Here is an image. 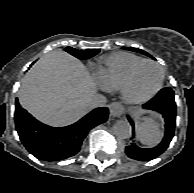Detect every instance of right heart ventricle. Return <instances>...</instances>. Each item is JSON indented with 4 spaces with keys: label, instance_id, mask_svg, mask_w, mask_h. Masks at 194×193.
Masks as SVG:
<instances>
[{
    "label": "right heart ventricle",
    "instance_id": "1",
    "mask_svg": "<svg viewBox=\"0 0 194 193\" xmlns=\"http://www.w3.org/2000/svg\"><path fill=\"white\" fill-rule=\"evenodd\" d=\"M143 59L128 52H115L99 61L97 72L110 89H118L128 71Z\"/></svg>",
    "mask_w": 194,
    "mask_h": 193
}]
</instances>
